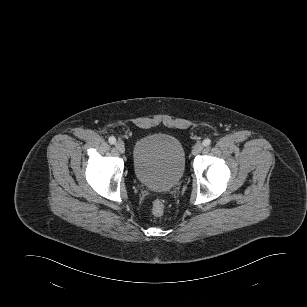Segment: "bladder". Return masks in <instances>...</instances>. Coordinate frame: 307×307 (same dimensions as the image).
I'll return each instance as SVG.
<instances>
[{"mask_svg": "<svg viewBox=\"0 0 307 307\" xmlns=\"http://www.w3.org/2000/svg\"><path fill=\"white\" fill-rule=\"evenodd\" d=\"M132 164L139 183L155 191H168L175 187L184 175L185 150L174 136L148 135L136 142Z\"/></svg>", "mask_w": 307, "mask_h": 307, "instance_id": "1", "label": "bladder"}]
</instances>
